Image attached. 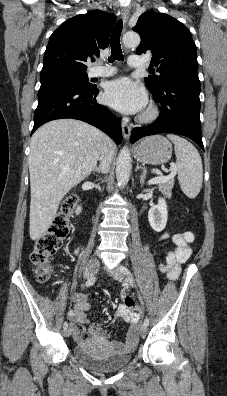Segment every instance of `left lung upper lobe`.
<instances>
[{"label": "left lung upper lobe", "mask_w": 227, "mask_h": 396, "mask_svg": "<svg viewBox=\"0 0 227 396\" xmlns=\"http://www.w3.org/2000/svg\"><path fill=\"white\" fill-rule=\"evenodd\" d=\"M133 30L141 36L137 53L151 52V66L159 73L145 78L150 91L172 82L200 84L196 45L181 22L164 13L146 11Z\"/></svg>", "instance_id": "1"}]
</instances>
